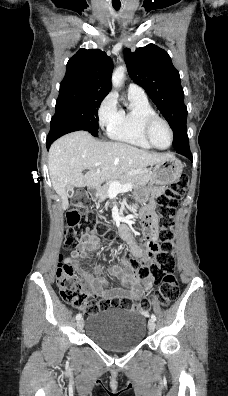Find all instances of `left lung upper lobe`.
Segmentation results:
<instances>
[{"label": "left lung upper lobe", "instance_id": "obj_1", "mask_svg": "<svg viewBox=\"0 0 228 396\" xmlns=\"http://www.w3.org/2000/svg\"><path fill=\"white\" fill-rule=\"evenodd\" d=\"M124 58L132 80L146 90L169 122L174 134V149L182 154L186 145L180 143V135L186 131L187 108L179 72L170 56L158 46L149 44L133 53L126 48Z\"/></svg>", "mask_w": 228, "mask_h": 396}]
</instances>
